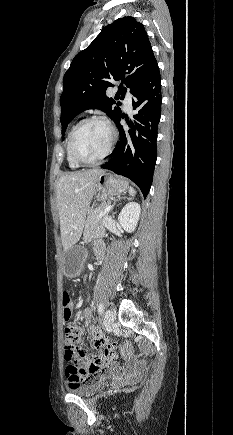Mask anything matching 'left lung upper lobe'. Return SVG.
Listing matches in <instances>:
<instances>
[{
  "instance_id": "obj_1",
  "label": "left lung upper lobe",
  "mask_w": 233,
  "mask_h": 435,
  "mask_svg": "<svg viewBox=\"0 0 233 435\" xmlns=\"http://www.w3.org/2000/svg\"><path fill=\"white\" fill-rule=\"evenodd\" d=\"M155 65L144 25L135 18H119L103 28L75 56L64 75L60 97L62 137L73 118L86 109L98 108L115 121L121 115V104L107 97L106 89L114 86L113 81L121 80L118 94L123 99L126 87L133 93Z\"/></svg>"
}]
</instances>
